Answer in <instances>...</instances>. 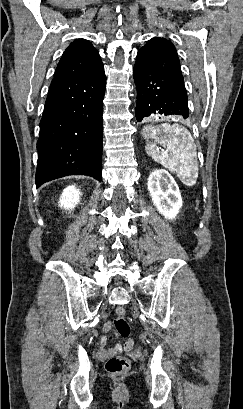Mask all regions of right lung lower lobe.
<instances>
[{"label":"right lung lower lobe","instance_id":"right-lung-lower-lobe-1","mask_svg":"<svg viewBox=\"0 0 243 409\" xmlns=\"http://www.w3.org/2000/svg\"><path fill=\"white\" fill-rule=\"evenodd\" d=\"M104 66L82 77H54L40 121L36 186L67 175L101 181Z\"/></svg>","mask_w":243,"mask_h":409}]
</instances>
